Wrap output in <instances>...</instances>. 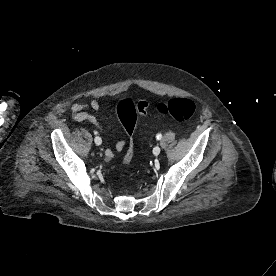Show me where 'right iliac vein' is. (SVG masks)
I'll return each mask as SVG.
<instances>
[{
  "instance_id": "right-iliac-vein-1",
  "label": "right iliac vein",
  "mask_w": 276,
  "mask_h": 276,
  "mask_svg": "<svg viewBox=\"0 0 276 276\" xmlns=\"http://www.w3.org/2000/svg\"><path fill=\"white\" fill-rule=\"evenodd\" d=\"M99 139H100V137L96 136L95 139H94V141H98ZM96 145H100V144L96 143Z\"/></svg>"
}]
</instances>
